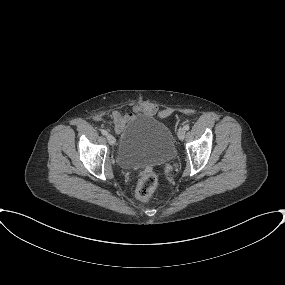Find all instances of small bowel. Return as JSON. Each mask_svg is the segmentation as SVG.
I'll use <instances>...</instances> for the list:
<instances>
[{
    "label": "small bowel",
    "instance_id": "small-bowel-1",
    "mask_svg": "<svg viewBox=\"0 0 285 285\" xmlns=\"http://www.w3.org/2000/svg\"><path fill=\"white\" fill-rule=\"evenodd\" d=\"M141 111L146 114H155L157 111V107L153 103H140L133 106L131 111L127 112H120V111H113L110 115V121L114 125L115 131L120 133L123 131L127 122L135 115L136 112Z\"/></svg>",
    "mask_w": 285,
    "mask_h": 285
}]
</instances>
